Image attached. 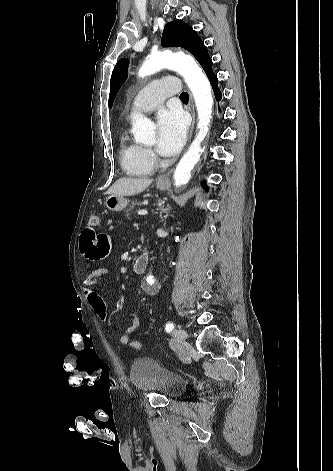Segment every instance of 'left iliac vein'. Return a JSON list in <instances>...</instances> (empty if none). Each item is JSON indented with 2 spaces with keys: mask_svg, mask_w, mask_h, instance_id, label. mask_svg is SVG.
Returning a JSON list of instances; mask_svg holds the SVG:
<instances>
[{
  "mask_svg": "<svg viewBox=\"0 0 333 471\" xmlns=\"http://www.w3.org/2000/svg\"><path fill=\"white\" fill-rule=\"evenodd\" d=\"M175 344L181 347L182 343L187 339V332L184 329H176L173 332Z\"/></svg>",
  "mask_w": 333,
  "mask_h": 471,
  "instance_id": "1",
  "label": "left iliac vein"
}]
</instances>
